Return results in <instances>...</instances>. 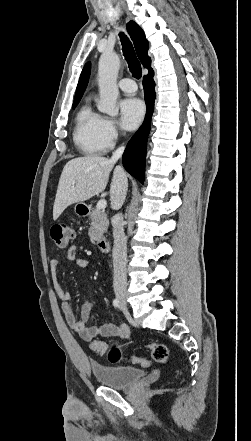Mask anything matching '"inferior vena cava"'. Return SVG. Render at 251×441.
Returning <instances> with one entry per match:
<instances>
[{"label":"inferior vena cava","instance_id":"inferior-vena-cava-1","mask_svg":"<svg viewBox=\"0 0 251 441\" xmlns=\"http://www.w3.org/2000/svg\"><path fill=\"white\" fill-rule=\"evenodd\" d=\"M124 151V147L118 148L112 155L111 161L116 162ZM125 199V197H124ZM113 226V287L116 294L125 293L127 287V238L124 234L123 216L116 214L112 220Z\"/></svg>","mask_w":251,"mask_h":441}]
</instances>
